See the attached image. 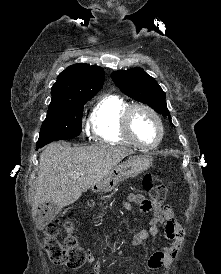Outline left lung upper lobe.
<instances>
[{
  "mask_svg": "<svg viewBox=\"0 0 221 274\" xmlns=\"http://www.w3.org/2000/svg\"><path fill=\"white\" fill-rule=\"evenodd\" d=\"M111 77L119 89L127 96L149 105L163 116H169V121H171L164 91L157 81L144 72L143 69L134 68L127 71H114Z\"/></svg>",
  "mask_w": 221,
  "mask_h": 274,
  "instance_id": "left-lung-upper-lobe-1",
  "label": "left lung upper lobe"
}]
</instances>
